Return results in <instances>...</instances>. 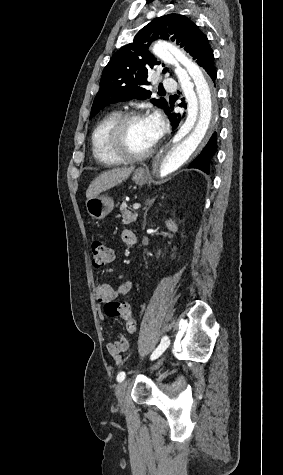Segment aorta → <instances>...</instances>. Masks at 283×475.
Wrapping results in <instances>:
<instances>
[{
  "label": "aorta",
  "mask_w": 283,
  "mask_h": 475,
  "mask_svg": "<svg viewBox=\"0 0 283 475\" xmlns=\"http://www.w3.org/2000/svg\"><path fill=\"white\" fill-rule=\"evenodd\" d=\"M152 52L166 63L172 56L186 69L189 77L179 68L175 73L187 101V117L175 136L156 154L152 170L157 179L173 174L194 158L206 143L218 118L216 93L211 80L184 51L172 43L158 41Z\"/></svg>",
  "instance_id": "aorta-1"
}]
</instances>
